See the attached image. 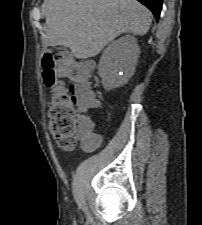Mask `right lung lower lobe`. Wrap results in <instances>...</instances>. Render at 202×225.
<instances>
[{
  "mask_svg": "<svg viewBox=\"0 0 202 225\" xmlns=\"http://www.w3.org/2000/svg\"><path fill=\"white\" fill-rule=\"evenodd\" d=\"M138 1L152 11L156 20L159 19L163 0H138Z\"/></svg>",
  "mask_w": 202,
  "mask_h": 225,
  "instance_id": "right-lung-lower-lobe-1",
  "label": "right lung lower lobe"
}]
</instances>
